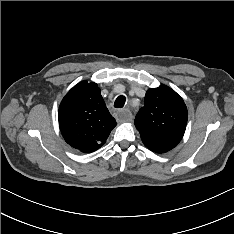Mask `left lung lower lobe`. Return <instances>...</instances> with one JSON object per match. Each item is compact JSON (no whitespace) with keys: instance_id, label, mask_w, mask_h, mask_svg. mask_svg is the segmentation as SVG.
Returning a JSON list of instances; mask_svg holds the SVG:
<instances>
[{"instance_id":"obj_1","label":"left lung lower lobe","mask_w":234,"mask_h":234,"mask_svg":"<svg viewBox=\"0 0 234 234\" xmlns=\"http://www.w3.org/2000/svg\"><path fill=\"white\" fill-rule=\"evenodd\" d=\"M145 146L153 152L165 153L174 148L177 144L168 140H158L155 143H144Z\"/></svg>"}]
</instances>
